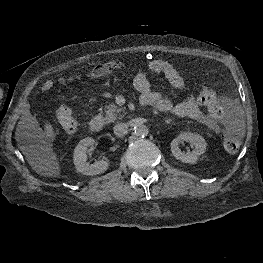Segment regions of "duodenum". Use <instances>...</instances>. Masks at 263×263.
Instances as JSON below:
<instances>
[{
	"mask_svg": "<svg viewBox=\"0 0 263 263\" xmlns=\"http://www.w3.org/2000/svg\"><path fill=\"white\" fill-rule=\"evenodd\" d=\"M104 127V120L101 116H95L90 122V129L93 132H100Z\"/></svg>",
	"mask_w": 263,
	"mask_h": 263,
	"instance_id": "1",
	"label": "duodenum"
}]
</instances>
